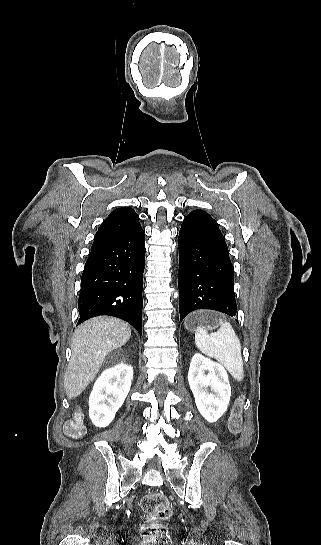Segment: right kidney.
<instances>
[{
    "label": "right kidney",
    "mask_w": 321,
    "mask_h": 545,
    "mask_svg": "<svg viewBox=\"0 0 321 545\" xmlns=\"http://www.w3.org/2000/svg\"><path fill=\"white\" fill-rule=\"evenodd\" d=\"M133 367L115 365L97 379L89 397V417L95 427H108L122 407L131 387Z\"/></svg>",
    "instance_id": "right-kidney-1"
}]
</instances>
